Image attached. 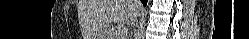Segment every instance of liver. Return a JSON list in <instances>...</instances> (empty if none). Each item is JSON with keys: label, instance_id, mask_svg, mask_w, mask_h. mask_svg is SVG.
<instances>
[{"label": "liver", "instance_id": "obj_1", "mask_svg": "<svg viewBox=\"0 0 249 39\" xmlns=\"http://www.w3.org/2000/svg\"><path fill=\"white\" fill-rule=\"evenodd\" d=\"M140 7L135 0H80L78 13L85 39H96L113 23H134Z\"/></svg>", "mask_w": 249, "mask_h": 39}]
</instances>
